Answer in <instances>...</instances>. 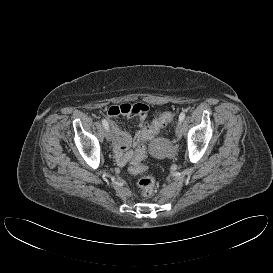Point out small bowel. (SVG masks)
Listing matches in <instances>:
<instances>
[{"label": "small bowel", "mask_w": 273, "mask_h": 273, "mask_svg": "<svg viewBox=\"0 0 273 273\" xmlns=\"http://www.w3.org/2000/svg\"><path fill=\"white\" fill-rule=\"evenodd\" d=\"M149 113V107L143 103L112 105L107 110L110 118L118 116L136 117L137 131L132 138L129 134L119 129L111 122L114 132V157L121 166L125 165L132 157L133 152L129 151L131 146H138L143 140V127Z\"/></svg>", "instance_id": "obj_1"}]
</instances>
